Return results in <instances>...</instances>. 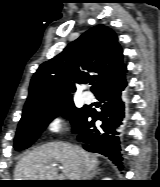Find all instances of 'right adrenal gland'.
Here are the masks:
<instances>
[{"label":"right adrenal gland","instance_id":"2a0ac1e0","mask_svg":"<svg viewBox=\"0 0 160 187\" xmlns=\"http://www.w3.org/2000/svg\"><path fill=\"white\" fill-rule=\"evenodd\" d=\"M100 172V169H95L91 172V174L89 175V179H93V177L96 176V174H98Z\"/></svg>","mask_w":160,"mask_h":187}]
</instances>
